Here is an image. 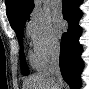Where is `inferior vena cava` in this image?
Segmentation results:
<instances>
[{"instance_id": "inferior-vena-cava-1", "label": "inferior vena cava", "mask_w": 89, "mask_h": 89, "mask_svg": "<svg viewBox=\"0 0 89 89\" xmlns=\"http://www.w3.org/2000/svg\"><path fill=\"white\" fill-rule=\"evenodd\" d=\"M59 56H60V47L57 44L52 53H51V59H50V66H49V70L48 73L60 78L61 74H60V68H59ZM60 89V87H59Z\"/></svg>"}]
</instances>
